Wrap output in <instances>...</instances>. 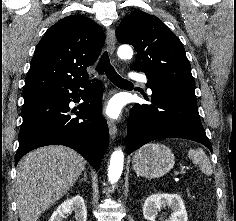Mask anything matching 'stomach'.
I'll use <instances>...</instances> for the list:
<instances>
[{
    "label": "stomach",
    "mask_w": 236,
    "mask_h": 221,
    "mask_svg": "<svg viewBox=\"0 0 236 221\" xmlns=\"http://www.w3.org/2000/svg\"><path fill=\"white\" fill-rule=\"evenodd\" d=\"M175 164L170 148L163 144L150 143L135 152L132 167L138 176L160 178L167 174Z\"/></svg>",
    "instance_id": "obj_1"
}]
</instances>
